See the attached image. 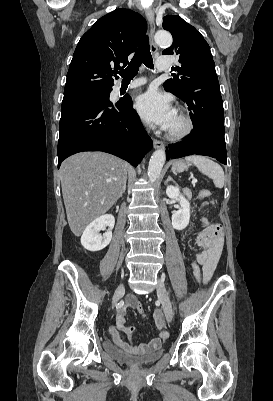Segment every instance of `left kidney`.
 Instances as JSON below:
<instances>
[{
    "instance_id": "left-kidney-1",
    "label": "left kidney",
    "mask_w": 273,
    "mask_h": 401,
    "mask_svg": "<svg viewBox=\"0 0 273 401\" xmlns=\"http://www.w3.org/2000/svg\"><path fill=\"white\" fill-rule=\"evenodd\" d=\"M166 194L169 198H179L182 209L175 211L172 215V225L177 231L186 229L190 221V203L187 198L180 194L179 186H167Z\"/></svg>"
}]
</instances>
